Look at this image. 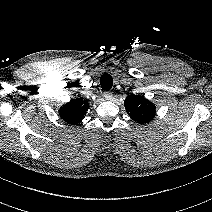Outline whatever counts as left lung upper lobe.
<instances>
[{"instance_id": "1", "label": "left lung upper lobe", "mask_w": 212, "mask_h": 212, "mask_svg": "<svg viewBox=\"0 0 212 212\" xmlns=\"http://www.w3.org/2000/svg\"><path fill=\"white\" fill-rule=\"evenodd\" d=\"M125 109L139 124H146L155 116V106L142 96L130 95L125 99Z\"/></svg>"}]
</instances>
